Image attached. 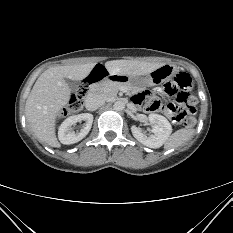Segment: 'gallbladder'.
Instances as JSON below:
<instances>
[{
	"instance_id": "obj_1",
	"label": "gallbladder",
	"mask_w": 233,
	"mask_h": 233,
	"mask_svg": "<svg viewBox=\"0 0 233 233\" xmlns=\"http://www.w3.org/2000/svg\"><path fill=\"white\" fill-rule=\"evenodd\" d=\"M68 86L70 87L71 91H77L79 89L80 82L76 80L66 79Z\"/></svg>"
}]
</instances>
